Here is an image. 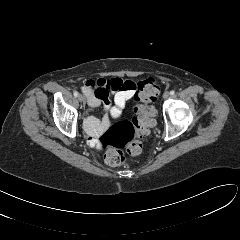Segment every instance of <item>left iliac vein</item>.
<instances>
[{"instance_id":"4c4485c4","label":"left iliac vein","mask_w":240,"mask_h":240,"mask_svg":"<svg viewBox=\"0 0 240 240\" xmlns=\"http://www.w3.org/2000/svg\"><path fill=\"white\" fill-rule=\"evenodd\" d=\"M169 96H170V93H169L168 91H165V92L163 93V99H168Z\"/></svg>"}]
</instances>
